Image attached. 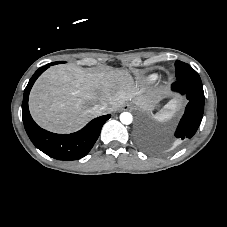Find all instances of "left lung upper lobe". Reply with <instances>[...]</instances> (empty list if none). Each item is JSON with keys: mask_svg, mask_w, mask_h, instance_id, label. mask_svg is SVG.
<instances>
[{"mask_svg": "<svg viewBox=\"0 0 227 227\" xmlns=\"http://www.w3.org/2000/svg\"><path fill=\"white\" fill-rule=\"evenodd\" d=\"M175 69L177 80H190L201 82L198 73L190 65L177 60L175 62Z\"/></svg>", "mask_w": 227, "mask_h": 227, "instance_id": "obj_1", "label": "left lung upper lobe"}]
</instances>
